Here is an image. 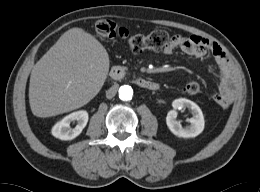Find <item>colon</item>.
I'll return each instance as SVG.
<instances>
[{
  "label": "colon",
  "mask_w": 260,
  "mask_h": 192,
  "mask_svg": "<svg viewBox=\"0 0 260 192\" xmlns=\"http://www.w3.org/2000/svg\"><path fill=\"white\" fill-rule=\"evenodd\" d=\"M97 36L108 41L115 38H120L130 45L134 51H142L146 49L160 51L170 45L174 39L165 30H155L149 34H132L126 28L118 26L115 22L109 19H100L95 24ZM186 94L194 95L200 91V86L197 82H189L182 88Z\"/></svg>",
  "instance_id": "colon-1"
}]
</instances>
